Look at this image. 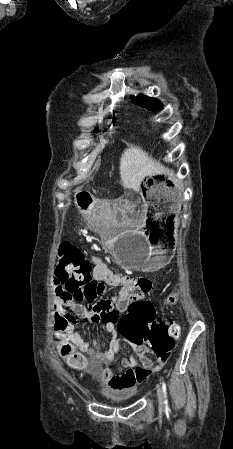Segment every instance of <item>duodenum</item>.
<instances>
[{
    "mask_svg": "<svg viewBox=\"0 0 233 449\" xmlns=\"http://www.w3.org/2000/svg\"><path fill=\"white\" fill-rule=\"evenodd\" d=\"M76 198V204L78 206H85L87 210L94 208V203L92 202V198L89 197L88 191H77Z\"/></svg>",
    "mask_w": 233,
    "mask_h": 449,
    "instance_id": "410a0bca",
    "label": "duodenum"
}]
</instances>
